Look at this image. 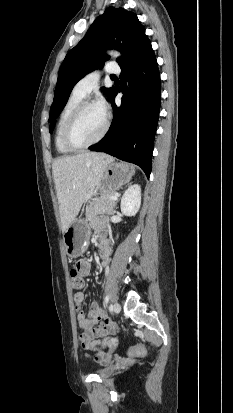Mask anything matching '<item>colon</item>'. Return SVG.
Wrapping results in <instances>:
<instances>
[{
	"label": "colon",
	"instance_id": "1",
	"mask_svg": "<svg viewBox=\"0 0 233 413\" xmlns=\"http://www.w3.org/2000/svg\"><path fill=\"white\" fill-rule=\"evenodd\" d=\"M71 284L74 290H81L85 285V280L83 275L79 270L72 268L71 270ZM109 340H105L103 345H106ZM145 352V347L143 344H139L136 347H131L128 349V355L131 357L143 355Z\"/></svg>",
	"mask_w": 233,
	"mask_h": 413
}]
</instances>
